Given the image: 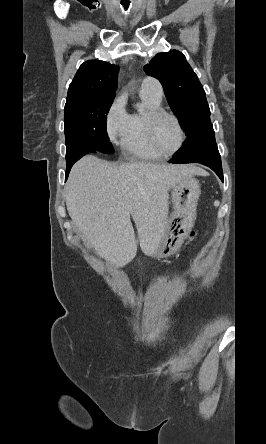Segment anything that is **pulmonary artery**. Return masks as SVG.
Here are the masks:
<instances>
[{
  "instance_id": "obj_1",
  "label": "pulmonary artery",
  "mask_w": 266,
  "mask_h": 444,
  "mask_svg": "<svg viewBox=\"0 0 266 444\" xmlns=\"http://www.w3.org/2000/svg\"><path fill=\"white\" fill-rule=\"evenodd\" d=\"M140 93L161 101L163 89L160 82L153 77H145L141 83Z\"/></svg>"
}]
</instances>
